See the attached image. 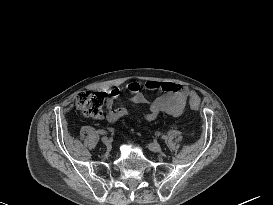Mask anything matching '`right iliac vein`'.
Returning <instances> with one entry per match:
<instances>
[{
	"mask_svg": "<svg viewBox=\"0 0 273 205\" xmlns=\"http://www.w3.org/2000/svg\"><path fill=\"white\" fill-rule=\"evenodd\" d=\"M102 142L106 145L109 146L110 145V139L108 137H102Z\"/></svg>",
	"mask_w": 273,
	"mask_h": 205,
	"instance_id": "63e3f726",
	"label": "right iliac vein"
}]
</instances>
